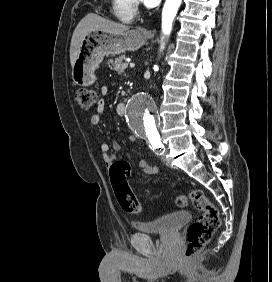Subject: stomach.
I'll return each mask as SVG.
<instances>
[{
	"mask_svg": "<svg viewBox=\"0 0 272 282\" xmlns=\"http://www.w3.org/2000/svg\"><path fill=\"white\" fill-rule=\"evenodd\" d=\"M147 33L141 29L123 33L92 31L84 37L72 67V79L79 86H89L96 80L95 70L106 55L134 51L143 46Z\"/></svg>",
	"mask_w": 272,
	"mask_h": 282,
	"instance_id": "0dacf381",
	"label": "stomach"
}]
</instances>
